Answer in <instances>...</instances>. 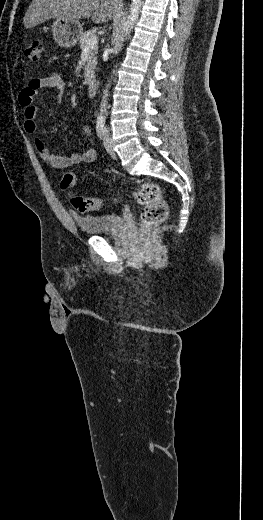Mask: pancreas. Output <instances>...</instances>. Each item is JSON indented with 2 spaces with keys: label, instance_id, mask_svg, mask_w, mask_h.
I'll return each instance as SVG.
<instances>
[{
  "label": "pancreas",
  "instance_id": "1",
  "mask_svg": "<svg viewBox=\"0 0 263 520\" xmlns=\"http://www.w3.org/2000/svg\"><path fill=\"white\" fill-rule=\"evenodd\" d=\"M95 36L94 30H89L84 33L79 38V44L80 48L84 50L87 47V42L90 38ZM98 48L95 46L94 48H91L88 52V55L86 57V65H85V72H84V79L86 83H89L94 78V70L97 65V55Z\"/></svg>",
  "mask_w": 263,
  "mask_h": 520
}]
</instances>
